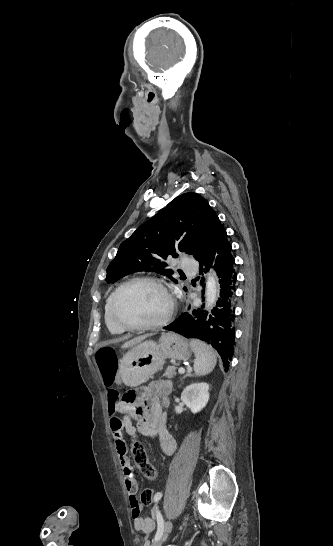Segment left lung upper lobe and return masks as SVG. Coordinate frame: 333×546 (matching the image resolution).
Instances as JSON below:
<instances>
[{"label": "left lung upper lobe", "instance_id": "left-lung-upper-lobe-1", "mask_svg": "<svg viewBox=\"0 0 333 546\" xmlns=\"http://www.w3.org/2000/svg\"><path fill=\"white\" fill-rule=\"evenodd\" d=\"M217 219L199 194L176 197L120 245L107 267L106 282L115 283L138 271H154L177 283L167 258H177L182 252L195 258L209 241Z\"/></svg>", "mask_w": 333, "mask_h": 546}]
</instances>
